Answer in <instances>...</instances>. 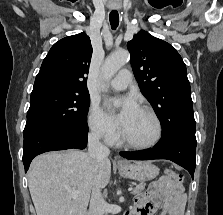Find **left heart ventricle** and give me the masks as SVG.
Here are the masks:
<instances>
[{
    "mask_svg": "<svg viewBox=\"0 0 223 215\" xmlns=\"http://www.w3.org/2000/svg\"><path fill=\"white\" fill-rule=\"evenodd\" d=\"M120 131L123 140L145 144L153 138L155 126L147 113L137 109Z\"/></svg>",
    "mask_w": 223,
    "mask_h": 215,
    "instance_id": "left-heart-ventricle-1",
    "label": "left heart ventricle"
}]
</instances>
